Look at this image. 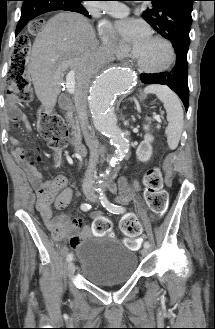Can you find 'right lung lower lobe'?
Segmentation results:
<instances>
[{
  "instance_id": "right-lung-lower-lobe-1",
  "label": "right lung lower lobe",
  "mask_w": 215,
  "mask_h": 329,
  "mask_svg": "<svg viewBox=\"0 0 215 329\" xmlns=\"http://www.w3.org/2000/svg\"><path fill=\"white\" fill-rule=\"evenodd\" d=\"M21 17L17 24L16 35L24 28L31 19L55 10L72 11L83 14L89 18L85 8H76L69 0H23Z\"/></svg>"
}]
</instances>
